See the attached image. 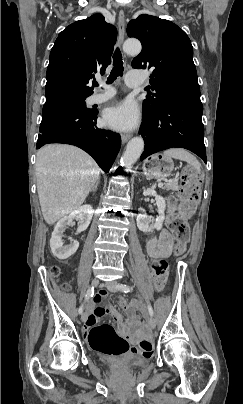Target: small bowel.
I'll return each mask as SVG.
<instances>
[{"label":"small bowel","instance_id":"obj_1","mask_svg":"<svg viewBox=\"0 0 243 404\" xmlns=\"http://www.w3.org/2000/svg\"><path fill=\"white\" fill-rule=\"evenodd\" d=\"M170 240V235L167 231H162L159 237H151L146 245L147 254L151 258H159L166 255L165 246ZM105 291H100L94 297V306L91 308L90 313L87 315L84 321V332L87 333L91 327H93L97 320L106 314L113 315L118 321V332L119 335L130 340L135 341L138 337L137 333H132V328L136 324L135 320L128 322H123L120 316L117 314L116 310L112 306L102 307L98 304L101 302L102 298L105 297Z\"/></svg>","mask_w":243,"mask_h":404}]
</instances>
